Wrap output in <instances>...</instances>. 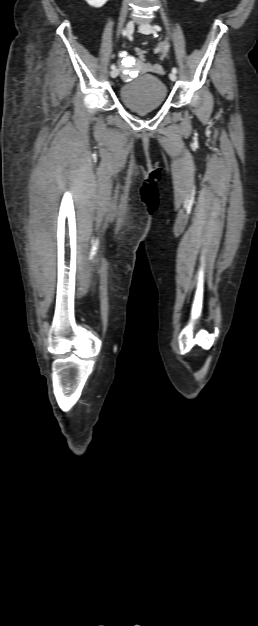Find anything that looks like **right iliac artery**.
<instances>
[{"label": "right iliac artery", "instance_id": "1", "mask_svg": "<svg viewBox=\"0 0 258 626\" xmlns=\"http://www.w3.org/2000/svg\"><path fill=\"white\" fill-rule=\"evenodd\" d=\"M122 35H123V36H126V35H127L126 30H123ZM111 69H112V70H113V69H115V65H114V64H112V65H111Z\"/></svg>", "mask_w": 258, "mask_h": 626}]
</instances>
